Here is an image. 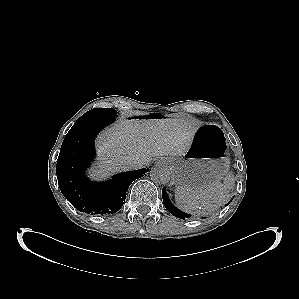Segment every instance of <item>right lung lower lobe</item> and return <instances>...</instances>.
Returning <instances> with one entry per match:
<instances>
[{
	"instance_id": "1",
	"label": "right lung lower lobe",
	"mask_w": 299,
	"mask_h": 299,
	"mask_svg": "<svg viewBox=\"0 0 299 299\" xmlns=\"http://www.w3.org/2000/svg\"><path fill=\"white\" fill-rule=\"evenodd\" d=\"M114 120L76 122L64 138L56 172L60 190L79 211L87 214H110L118 211L130 184L142 177L148 168L117 174L112 179L94 183L85 176V169L95 156L94 139Z\"/></svg>"
}]
</instances>
